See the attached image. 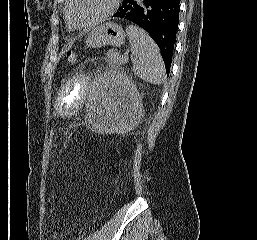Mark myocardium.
<instances>
[{"label": "myocardium", "instance_id": "f54148a6", "mask_svg": "<svg viewBox=\"0 0 257 240\" xmlns=\"http://www.w3.org/2000/svg\"><path fill=\"white\" fill-rule=\"evenodd\" d=\"M118 1L119 0H110V4H109L108 8L103 13H101L99 16L95 17L94 19H92L88 22L78 23V22L74 21V19L71 16V13H70V7H71V4H72L73 0H66L65 16H66V19H67L68 23L73 28H76V29L89 28V27H92L94 25H97L98 23L104 21L107 17H109L114 12V10L116 9V7L118 5Z\"/></svg>", "mask_w": 257, "mask_h": 240}]
</instances>
